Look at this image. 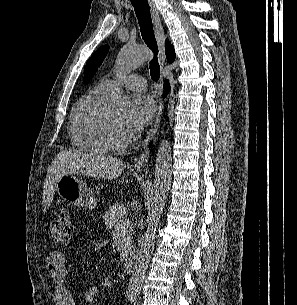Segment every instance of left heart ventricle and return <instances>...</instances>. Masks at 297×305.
Here are the masks:
<instances>
[{
	"instance_id": "obj_1",
	"label": "left heart ventricle",
	"mask_w": 297,
	"mask_h": 305,
	"mask_svg": "<svg viewBox=\"0 0 297 305\" xmlns=\"http://www.w3.org/2000/svg\"><path fill=\"white\" fill-rule=\"evenodd\" d=\"M109 117L111 119L112 125L116 132V135L119 138H126L127 135L124 132L123 127H122V122H123L124 116L122 114H110Z\"/></svg>"
}]
</instances>
